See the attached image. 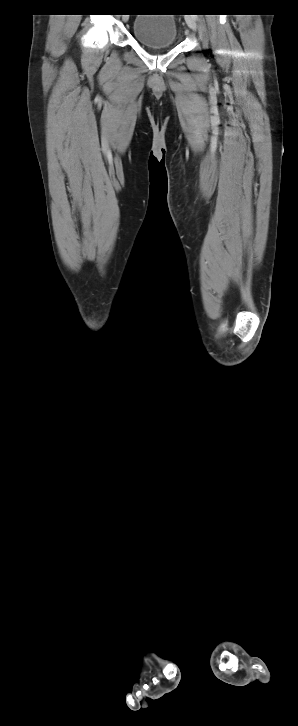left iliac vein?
<instances>
[{
    "label": "left iliac vein",
    "instance_id": "obj_1",
    "mask_svg": "<svg viewBox=\"0 0 298 726\" xmlns=\"http://www.w3.org/2000/svg\"><path fill=\"white\" fill-rule=\"evenodd\" d=\"M186 23L190 29L196 30L197 24H196L195 16H187ZM186 33H188V32H186Z\"/></svg>",
    "mask_w": 298,
    "mask_h": 726
}]
</instances>
